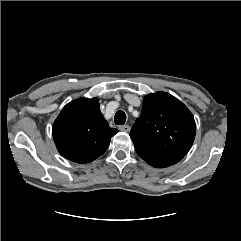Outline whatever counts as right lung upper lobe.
<instances>
[{"mask_svg": "<svg viewBox=\"0 0 241 241\" xmlns=\"http://www.w3.org/2000/svg\"><path fill=\"white\" fill-rule=\"evenodd\" d=\"M52 132L59 153L70 161L83 164L102 155L118 130L109 127L97 98H80L63 108Z\"/></svg>", "mask_w": 241, "mask_h": 241, "instance_id": "1", "label": "right lung upper lobe"}]
</instances>
